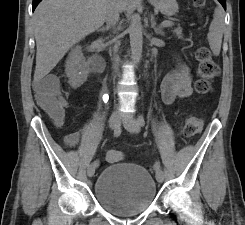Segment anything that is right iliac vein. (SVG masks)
I'll use <instances>...</instances> for the list:
<instances>
[{
    "instance_id": "63e3f726",
    "label": "right iliac vein",
    "mask_w": 245,
    "mask_h": 225,
    "mask_svg": "<svg viewBox=\"0 0 245 225\" xmlns=\"http://www.w3.org/2000/svg\"><path fill=\"white\" fill-rule=\"evenodd\" d=\"M121 121V116L119 112H114L109 119V126L111 129H115ZM87 173L89 177H93L95 174V166L93 164L89 165L87 168Z\"/></svg>"
}]
</instances>
